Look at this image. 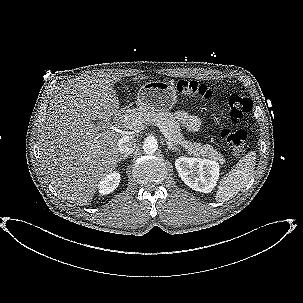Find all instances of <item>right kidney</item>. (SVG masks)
<instances>
[{
    "label": "right kidney",
    "mask_w": 303,
    "mask_h": 303,
    "mask_svg": "<svg viewBox=\"0 0 303 303\" xmlns=\"http://www.w3.org/2000/svg\"><path fill=\"white\" fill-rule=\"evenodd\" d=\"M120 183V174L113 172L108 174L98 185L99 193L101 195L110 194L113 192Z\"/></svg>",
    "instance_id": "ca27d5eb"
}]
</instances>
